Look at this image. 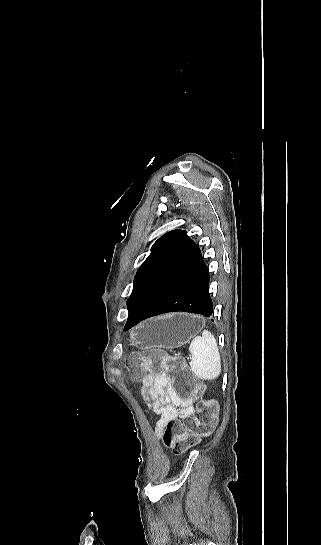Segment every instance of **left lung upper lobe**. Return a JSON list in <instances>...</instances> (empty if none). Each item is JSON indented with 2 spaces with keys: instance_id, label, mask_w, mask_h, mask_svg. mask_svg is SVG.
Masks as SVG:
<instances>
[{
  "instance_id": "5c2ea615",
  "label": "left lung upper lobe",
  "mask_w": 321,
  "mask_h": 545,
  "mask_svg": "<svg viewBox=\"0 0 321 545\" xmlns=\"http://www.w3.org/2000/svg\"><path fill=\"white\" fill-rule=\"evenodd\" d=\"M181 233V230L170 231L161 236L154 243L151 248V254L140 266L134 278L133 291L126 303L128 306V311L131 309L146 284L164 263Z\"/></svg>"
}]
</instances>
